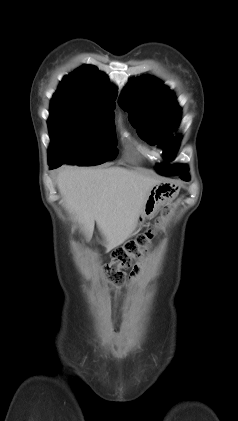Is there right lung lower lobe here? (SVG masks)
I'll use <instances>...</instances> for the list:
<instances>
[{
    "label": "right lung lower lobe",
    "mask_w": 238,
    "mask_h": 421,
    "mask_svg": "<svg viewBox=\"0 0 238 421\" xmlns=\"http://www.w3.org/2000/svg\"><path fill=\"white\" fill-rule=\"evenodd\" d=\"M62 164H63L62 162H49L50 169L57 168V167L61 166Z\"/></svg>",
    "instance_id": "1"
}]
</instances>
